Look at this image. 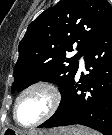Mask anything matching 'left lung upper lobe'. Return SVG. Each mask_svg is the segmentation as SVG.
I'll return each mask as SVG.
<instances>
[{"label":"left lung upper lobe","mask_w":112,"mask_h":135,"mask_svg":"<svg viewBox=\"0 0 112 135\" xmlns=\"http://www.w3.org/2000/svg\"><path fill=\"white\" fill-rule=\"evenodd\" d=\"M112 23L107 0H61L42 12L27 28L19 43L12 93L39 81L67 90L78 69V59ZM76 48L78 54L68 57Z\"/></svg>","instance_id":"left-lung-upper-lobe-1"}]
</instances>
